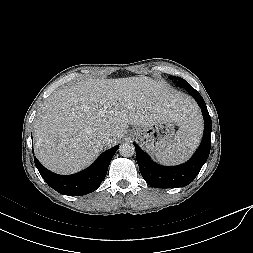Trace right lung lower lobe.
Instances as JSON below:
<instances>
[{
    "mask_svg": "<svg viewBox=\"0 0 253 253\" xmlns=\"http://www.w3.org/2000/svg\"><path fill=\"white\" fill-rule=\"evenodd\" d=\"M118 146L102 153L87 169L73 175H58L46 169L34 157L35 165L46 183L64 195L80 196L95 191L105 179L109 164Z\"/></svg>",
    "mask_w": 253,
    "mask_h": 253,
    "instance_id": "obj_1",
    "label": "right lung lower lobe"
}]
</instances>
